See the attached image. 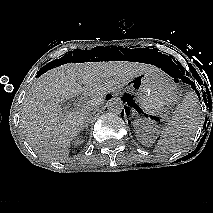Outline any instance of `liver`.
Segmentation results:
<instances>
[{"mask_svg":"<svg viewBox=\"0 0 213 213\" xmlns=\"http://www.w3.org/2000/svg\"><path fill=\"white\" fill-rule=\"evenodd\" d=\"M156 71L153 65L131 61L67 63L48 70L35 80L23 101L20 128L26 141L43 159L64 162L71 141L84 126L86 107L98 109L107 92ZM81 93L91 100L62 112L61 103Z\"/></svg>","mask_w":213,"mask_h":213,"instance_id":"6515ba94","label":"liver"}]
</instances>
